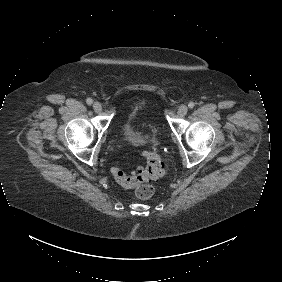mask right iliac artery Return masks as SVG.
<instances>
[{
    "instance_id": "82829eb1",
    "label": "right iliac artery",
    "mask_w": 282,
    "mask_h": 282,
    "mask_svg": "<svg viewBox=\"0 0 282 282\" xmlns=\"http://www.w3.org/2000/svg\"><path fill=\"white\" fill-rule=\"evenodd\" d=\"M86 102L88 105H91L93 103V100L91 98H87Z\"/></svg>"
}]
</instances>
